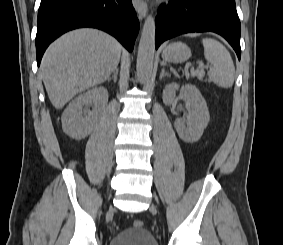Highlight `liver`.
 Instances as JSON below:
<instances>
[{
    "label": "liver",
    "mask_w": 283,
    "mask_h": 245,
    "mask_svg": "<svg viewBox=\"0 0 283 245\" xmlns=\"http://www.w3.org/2000/svg\"><path fill=\"white\" fill-rule=\"evenodd\" d=\"M122 47L96 29L71 31L45 52L40 73L50 102L61 109L75 95L106 81L117 69Z\"/></svg>",
    "instance_id": "liver-1"
}]
</instances>
